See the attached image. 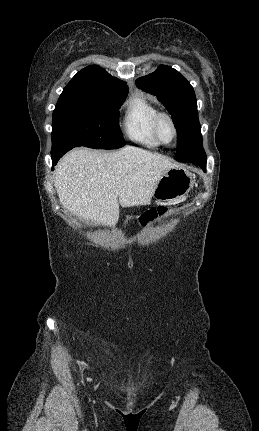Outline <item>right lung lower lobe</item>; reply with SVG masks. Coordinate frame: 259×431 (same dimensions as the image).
I'll list each match as a JSON object with an SVG mask.
<instances>
[{
    "label": "right lung lower lobe",
    "instance_id": "98d812e1",
    "mask_svg": "<svg viewBox=\"0 0 259 431\" xmlns=\"http://www.w3.org/2000/svg\"><path fill=\"white\" fill-rule=\"evenodd\" d=\"M69 150L70 148H62L59 150L51 151V154H52L51 158H52L53 165H55L58 162V160Z\"/></svg>",
    "mask_w": 259,
    "mask_h": 431
}]
</instances>
